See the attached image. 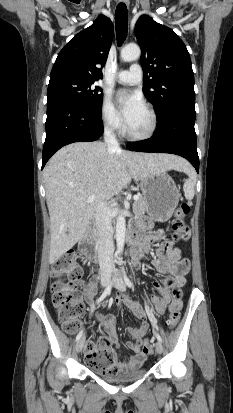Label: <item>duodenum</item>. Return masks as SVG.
I'll use <instances>...</instances> for the list:
<instances>
[{
    "instance_id": "410a0bca",
    "label": "duodenum",
    "mask_w": 233,
    "mask_h": 413,
    "mask_svg": "<svg viewBox=\"0 0 233 413\" xmlns=\"http://www.w3.org/2000/svg\"><path fill=\"white\" fill-rule=\"evenodd\" d=\"M139 241L140 237L137 233H132L129 236V243L132 246L131 265L133 267H138L140 265ZM79 249L90 259L94 261L98 260V248L95 241L93 229L88 228L84 231L79 240Z\"/></svg>"
}]
</instances>
